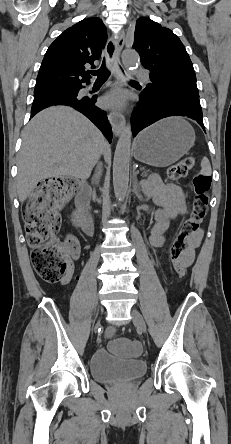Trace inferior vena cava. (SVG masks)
I'll use <instances>...</instances> for the list:
<instances>
[{
	"instance_id": "inferior-vena-cava-1",
	"label": "inferior vena cava",
	"mask_w": 231,
	"mask_h": 444,
	"mask_svg": "<svg viewBox=\"0 0 231 444\" xmlns=\"http://www.w3.org/2000/svg\"><path fill=\"white\" fill-rule=\"evenodd\" d=\"M100 146L103 148L105 145L102 143ZM94 201L97 203L99 200L96 198Z\"/></svg>"
}]
</instances>
